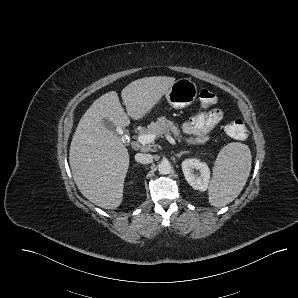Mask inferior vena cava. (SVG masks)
Wrapping results in <instances>:
<instances>
[{"label": "inferior vena cava", "mask_w": 298, "mask_h": 298, "mask_svg": "<svg viewBox=\"0 0 298 298\" xmlns=\"http://www.w3.org/2000/svg\"><path fill=\"white\" fill-rule=\"evenodd\" d=\"M135 160L136 162H139L142 164H150L153 161V155L148 153H136Z\"/></svg>", "instance_id": "inferior-vena-cava-1"}]
</instances>
